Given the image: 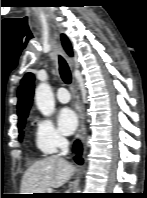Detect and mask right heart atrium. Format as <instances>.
Wrapping results in <instances>:
<instances>
[{
    "label": "right heart atrium",
    "instance_id": "obj_1",
    "mask_svg": "<svg viewBox=\"0 0 147 198\" xmlns=\"http://www.w3.org/2000/svg\"><path fill=\"white\" fill-rule=\"evenodd\" d=\"M36 144L44 154H52L62 146L66 140L49 118L38 117L36 119Z\"/></svg>",
    "mask_w": 147,
    "mask_h": 198
}]
</instances>
